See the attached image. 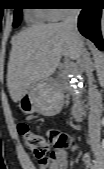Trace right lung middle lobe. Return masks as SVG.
I'll list each match as a JSON object with an SVG mask.
<instances>
[{
    "label": "right lung middle lobe",
    "mask_w": 104,
    "mask_h": 169,
    "mask_svg": "<svg viewBox=\"0 0 104 169\" xmlns=\"http://www.w3.org/2000/svg\"><path fill=\"white\" fill-rule=\"evenodd\" d=\"M21 8H16L15 9V13H14V22H13V26L17 27L20 23L21 20Z\"/></svg>",
    "instance_id": "obj_1"
}]
</instances>
